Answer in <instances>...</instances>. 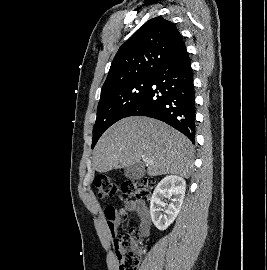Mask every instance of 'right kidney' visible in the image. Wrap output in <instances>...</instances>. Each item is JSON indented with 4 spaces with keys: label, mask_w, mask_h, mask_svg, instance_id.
<instances>
[{
    "label": "right kidney",
    "mask_w": 267,
    "mask_h": 270,
    "mask_svg": "<svg viewBox=\"0 0 267 270\" xmlns=\"http://www.w3.org/2000/svg\"><path fill=\"white\" fill-rule=\"evenodd\" d=\"M186 182L177 175L164 177L156 186L150 202V215L152 222L157 229L163 231L167 229L178 216L185 197ZM173 196L172 203L163 212L166 203L164 198L170 199Z\"/></svg>",
    "instance_id": "obj_1"
}]
</instances>
